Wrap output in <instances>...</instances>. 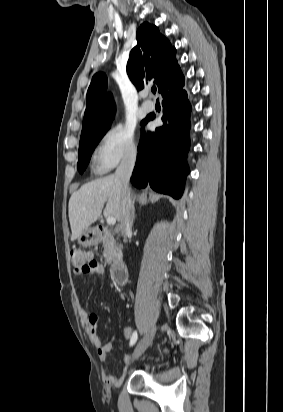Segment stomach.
I'll use <instances>...</instances> for the list:
<instances>
[{"label":"stomach","mask_w":283,"mask_h":412,"mask_svg":"<svg viewBox=\"0 0 283 412\" xmlns=\"http://www.w3.org/2000/svg\"><path fill=\"white\" fill-rule=\"evenodd\" d=\"M77 241L80 245L87 247L97 244L98 237L95 230L88 228L77 238Z\"/></svg>","instance_id":"0dacf381"}]
</instances>
